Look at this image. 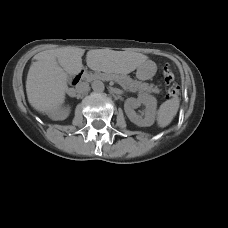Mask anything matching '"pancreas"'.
<instances>
[{
    "mask_svg": "<svg viewBox=\"0 0 228 228\" xmlns=\"http://www.w3.org/2000/svg\"><path fill=\"white\" fill-rule=\"evenodd\" d=\"M115 81H117L124 89L131 92H139V93H159L160 89L153 84L149 85L147 83H141L139 81H134L128 76H114L112 77ZM89 80L98 81L100 79H107L104 75H90L88 77Z\"/></svg>",
    "mask_w": 228,
    "mask_h": 228,
    "instance_id": "cf45deb5",
    "label": "pancreas"
}]
</instances>
